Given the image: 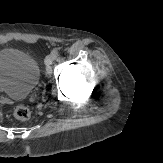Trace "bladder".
<instances>
[{
	"mask_svg": "<svg viewBox=\"0 0 163 163\" xmlns=\"http://www.w3.org/2000/svg\"><path fill=\"white\" fill-rule=\"evenodd\" d=\"M39 77V64L30 54L15 48L0 50L1 93L22 99L35 88Z\"/></svg>",
	"mask_w": 163,
	"mask_h": 163,
	"instance_id": "bladder-1",
	"label": "bladder"
}]
</instances>
